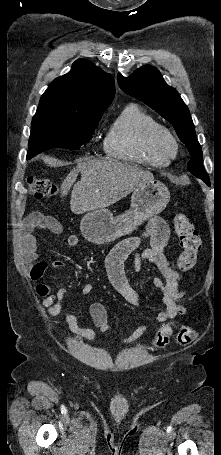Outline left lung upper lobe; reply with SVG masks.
<instances>
[{"mask_svg": "<svg viewBox=\"0 0 221 455\" xmlns=\"http://www.w3.org/2000/svg\"><path fill=\"white\" fill-rule=\"evenodd\" d=\"M117 80L126 94L143 101L174 126L178 137L191 155L188 170L208 183L209 177L202 165V149L195 134L192 118L176 89L169 86L159 70L151 65L140 67L129 77L118 74Z\"/></svg>", "mask_w": 221, "mask_h": 455, "instance_id": "5c2ea615", "label": "left lung upper lobe"}]
</instances>
